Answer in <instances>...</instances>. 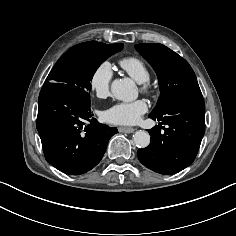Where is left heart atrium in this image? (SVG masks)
Here are the masks:
<instances>
[{
  "label": "left heart atrium",
  "mask_w": 236,
  "mask_h": 236,
  "mask_svg": "<svg viewBox=\"0 0 236 236\" xmlns=\"http://www.w3.org/2000/svg\"><path fill=\"white\" fill-rule=\"evenodd\" d=\"M147 110L148 106L143 99L130 102L120 101L105 110L103 117L108 123L133 125L140 121Z\"/></svg>",
  "instance_id": "1"
}]
</instances>
